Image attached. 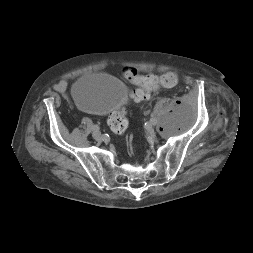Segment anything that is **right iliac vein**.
Segmentation results:
<instances>
[{
    "instance_id": "obj_1",
    "label": "right iliac vein",
    "mask_w": 253,
    "mask_h": 253,
    "mask_svg": "<svg viewBox=\"0 0 253 253\" xmlns=\"http://www.w3.org/2000/svg\"><path fill=\"white\" fill-rule=\"evenodd\" d=\"M92 135H93V137L95 139H101V137H102V135H101V133H100L99 130H94L93 133H92Z\"/></svg>"
}]
</instances>
